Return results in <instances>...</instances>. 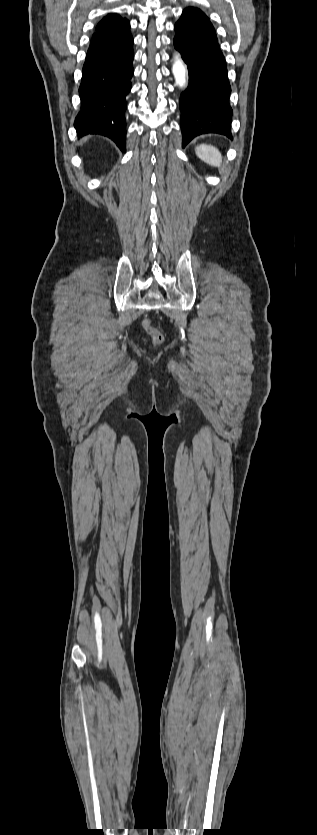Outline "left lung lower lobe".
<instances>
[{"instance_id":"0a47b994","label":"left lung lower lobe","mask_w":317,"mask_h":835,"mask_svg":"<svg viewBox=\"0 0 317 835\" xmlns=\"http://www.w3.org/2000/svg\"><path fill=\"white\" fill-rule=\"evenodd\" d=\"M175 31L174 46L189 70V85L179 104L183 146L206 133L232 139L231 87L213 25L200 9L189 7L175 24Z\"/></svg>"}]
</instances>
